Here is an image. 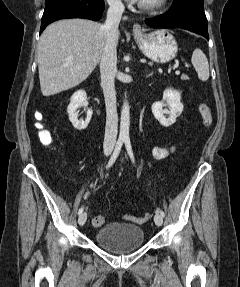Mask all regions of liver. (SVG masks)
I'll return each mask as SVG.
<instances>
[{
  "instance_id": "6515ba94",
  "label": "liver",
  "mask_w": 240,
  "mask_h": 287,
  "mask_svg": "<svg viewBox=\"0 0 240 287\" xmlns=\"http://www.w3.org/2000/svg\"><path fill=\"white\" fill-rule=\"evenodd\" d=\"M102 26L86 19H65L45 29L37 51L44 96L69 90L88 78L103 52L105 36Z\"/></svg>"
}]
</instances>
